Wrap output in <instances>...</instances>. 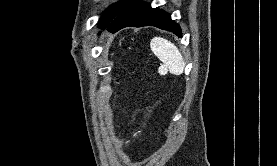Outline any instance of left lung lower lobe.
Returning a JSON list of instances; mask_svg holds the SVG:
<instances>
[{"instance_id":"left-lung-lower-lobe-1","label":"left lung lower lobe","mask_w":277,"mask_h":166,"mask_svg":"<svg viewBox=\"0 0 277 166\" xmlns=\"http://www.w3.org/2000/svg\"><path fill=\"white\" fill-rule=\"evenodd\" d=\"M127 26H155L174 32L178 37H181V29L171 20L170 15L151 8L149 3L133 2L105 25L107 30L112 33Z\"/></svg>"}]
</instances>
